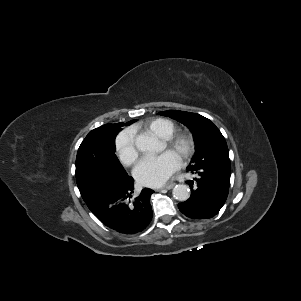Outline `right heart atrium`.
I'll return each mask as SVG.
<instances>
[{
  "label": "right heart atrium",
  "instance_id": "right-heart-atrium-1",
  "mask_svg": "<svg viewBox=\"0 0 301 301\" xmlns=\"http://www.w3.org/2000/svg\"><path fill=\"white\" fill-rule=\"evenodd\" d=\"M115 149L120 161L124 165L131 166L136 163L139 153L132 129H125L119 133L115 140Z\"/></svg>",
  "mask_w": 301,
  "mask_h": 301
}]
</instances>
